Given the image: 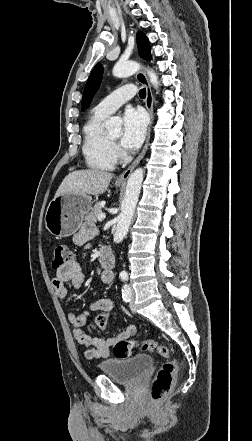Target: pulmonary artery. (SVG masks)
<instances>
[{"label": "pulmonary artery", "mask_w": 252, "mask_h": 441, "mask_svg": "<svg viewBox=\"0 0 252 441\" xmlns=\"http://www.w3.org/2000/svg\"><path fill=\"white\" fill-rule=\"evenodd\" d=\"M134 85H124L105 97L94 110L101 114L109 115L115 112L122 104L130 100L136 94Z\"/></svg>", "instance_id": "1"}]
</instances>
